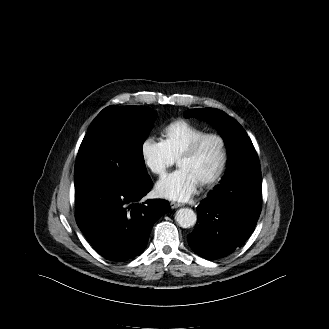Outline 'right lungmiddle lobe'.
Here are the masks:
<instances>
[{
    "instance_id": "right-lung-middle-lobe-1",
    "label": "right lung middle lobe",
    "mask_w": 329,
    "mask_h": 329,
    "mask_svg": "<svg viewBox=\"0 0 329 329\" xmlns=\"http://www.w3.org/2000/svg\"><path fill=\"white\" fill-rule=\"evenodd\" d=\"M154 116L146 106H109L91 123L75 163V189L93 181L138 188L150 179L142 145Z\"/></svg>"
}]
</instances>
